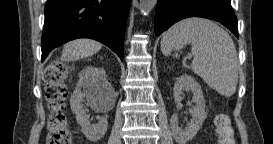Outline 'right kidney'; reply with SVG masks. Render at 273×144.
<instances>
[{"instance_id":"obj_1","label":"right kidney","mask_w":273,"mask_h":144,"mask_svg":"<svg viewBox=\"0 0 273 144\" xmlns=\"http://www.w3.org/2000/svg\"><path fill=\"white\" fill-rule=\"evenodd\" d=\"M112 94L113 88L106 80L105 70L97 67H87L71 95L70 106L76 114V120L82 128V133L90 141L97 142L105 135L108 122L104 117H99L98 123L91 125L89 116L82 104L83 98H88L91 105L95 106Z\"/></svg>"}]
</instances>
